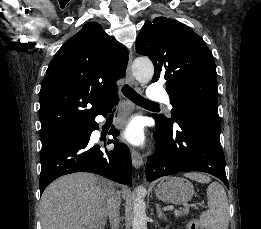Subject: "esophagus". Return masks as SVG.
I'll return each mask as SVG.
<instances>
[{"mask_svg":"<svg viewBox=\"0 0 261 229\" xmlns=\"http://www.w3.org/2000/svg\"><path fill=\"white\" fill-rule=\"evenodd\" d=\"M132 61H133V55L132 52L129 54V60H128V65L126 69V80L134 85L135 84V79L132 74L131 66H132ZM131 159H132V164L136 169H140L143 165V158L142 154L139 150L133 148L131 152Z\"/></svg>","mask_w":261,"mask_h":229,"instance_id":"esophagus-1","label":"esophagus"}]
</instances>
